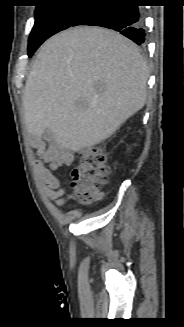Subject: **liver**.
Instances as JSON below:
<instances>
[{"instance_id": "liver-1", "label": "liver", "mask_w": 184, "mask_h": 327, "mask_svg": "<svg viewBox=\"0 0 184 327\" xmlns=\"http://www.w3.org/2000/svg\"><path fill=\"white\" fill-rule=\"evenodd\" d=\"M148 75L137 46L119 33L65 30L43 44L26 80V128L73 152L97 145L144 106Z\"/></svg>"}]
</instances>
